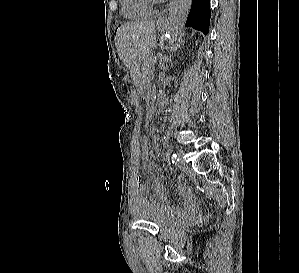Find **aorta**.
<instances>
[{"instance_id":"aorta-1","label":"aorta","mask_w":299,"mask_h":273,"mask_svg":"<svg viewBox=\"0 0 299 273\" xmlns=\"http://www.w3.org/2000/svg\"><path fill=\"white\" fill-rule=\"evenodd\" d=\"M192 0H173L168 14V27L166 30L170 46H173L181 33L187 15L191 8Z\"/></svg>"}]
</instances>
